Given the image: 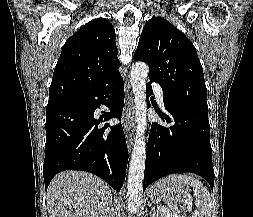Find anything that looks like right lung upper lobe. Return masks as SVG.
Listing matches in <instances>:
<instances>
[{
  "label": "right lung upper lobe",
  "mask_w": 253,
  "mask_h": 217,
  "mask_svg": "<svg viewBox=\"0 0 253 217\" xmlns=\"http://www.w3.org/2000/svg\"><path fill=\"white\" fill-rule=\"evenodd\" d=\"M113 25L97 18L64 44L56 64L48 103L87 93L118 73L120 62Z\"/></svg>",
  "instance_id": "cb5924a9"
}]
</instances>
